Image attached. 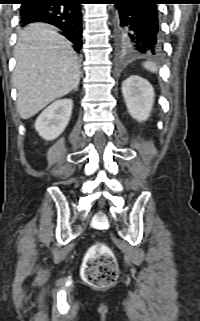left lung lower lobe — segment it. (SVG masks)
<instances>
[{
	"instance_id": "1",
	"label": "left lung lower lobe",
	"mask_w": 200,
	"mask_h": 321,
	"mask_svg": "<svg viewBox=\"0 0 200 321\" xmlns=\"http://www.w3.org/2000/svg\"><path fill=\"white\" fill-rule=\"evenodd\" d=\"M163 0H114L118 49L125 53L160 52L157 4Z\"/></svg>"
}]
</instances>
